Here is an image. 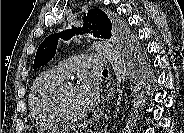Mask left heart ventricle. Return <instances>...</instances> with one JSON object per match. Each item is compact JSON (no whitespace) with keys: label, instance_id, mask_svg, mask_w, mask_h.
I'll return each mask as SVG.
<instances>
[{"label":"left heart ventricle","instance_id":"left-heart-ventricle-1","mask_svg":"<svg viewBox=\"0 0 184 133\" xmlns=\"http://www.w3.org/2000/svg\"><path fill=\"white\" fill-rule=\"evenodd\" d=\"M62 105L65 113L71 117H81L85 115L86 110L80 103L75 87L65 89L62 96Z\"/></svg>","mask_w":184,"mask_h":133}]
</instances>
